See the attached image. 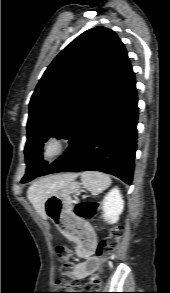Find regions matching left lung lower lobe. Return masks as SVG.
<instances>
[{
    "mask_svg": "<svg viewBox=\"0 0 170 293\" xmlns=\"http://www.w3.org/2000/svg\"><path fill=\"white\" fill-rule=\"evenodd\" d=\"M137 101L129 62L70 140L67 151L36 177L95 170L131 184L137 147Z\"/></svg>",
    "mask_w": 170,
    "mask_h": 293,
    "instance_id": "obj_1",
    "label": "left lung lower lobe"
}]
</instances>
